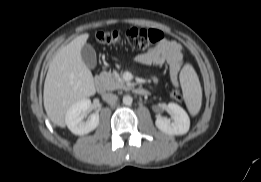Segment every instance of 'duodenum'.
Instances as JSON below:
<instances>
[{
	"mask_svg": "<svg viewBox=\"0 0 261 182\" xmlns=\"http://www.w3.org/2000/svg\"><path fill=\"white\" fill-rule=\"evenodd\" d=\"M95 85L98 92L103 93L105 91V85L101 79H96ZM133 92L141 96H147L149 94L148 90L142 87H134Z\"/></svg>",
	"mask_w": 261,
	"mask_h": 182,
	"instance_id": "duodenum-1",
	"label": "duodenum"
}]
</instances>
